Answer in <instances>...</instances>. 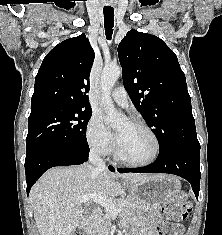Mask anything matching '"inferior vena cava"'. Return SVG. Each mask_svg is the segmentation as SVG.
Instances as JSON below:
<instances>
[{
    "instance_id": "1",
    "label": "inferior vena cava",
    "mask_w": 222,
    "mask_h": 235,
    "mask_svg": "<svg viewBox=\"0 0 222 235\" xmlns=\"http://www.w3.org/2000/svg\"><path fill=\"white\" fill-rule=\"evenodd\" d=\"M89 162L100 170L106 169L105 162L100 158L95 149H91L89 153Z\"/></svg>"
}]
</instances>
